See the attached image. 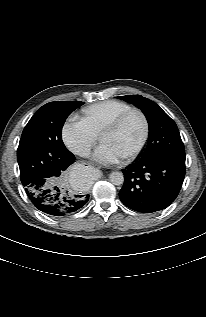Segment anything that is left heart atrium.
Returning a JSON list of instances; mask_svg holds the SVG:
<instances>
[{"label":"left heart atrium","mask_w":206,"mask_h":317,"mask_svg":"<svg viewBox=\"0 0 206 317\" xmlns=\"http://www.w3.org/2000/svg\"><path fill=\"white\" fill-rule=\"evenodd\" d=\"M94 159L105 164L119 162L123 156L111 145L102 143L94 152Z\"/></svg>","instance_id":"1"}]
</instances>
